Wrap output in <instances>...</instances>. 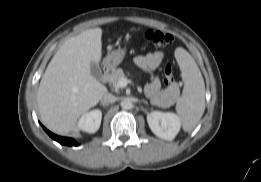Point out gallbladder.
Returning <instances> with one entry per match:
<instances>
[{
  "instance_id": "gallbladder-1",
  "label": "gallbladder",
  "mask_w": 261,
  "mask_h": 182,
  "mask_svg": "<svg viewBox=\"0 0 261 182\" xmlns=\"http://www.w3.org/2000/svg\"><path fill=\"white\" fill-rule=\"evenodd\" d=\"M90 73L96 79L100 80L102 77V72L98 64L92 63L90 66Z\"/></svg>"
}]
</instances>
